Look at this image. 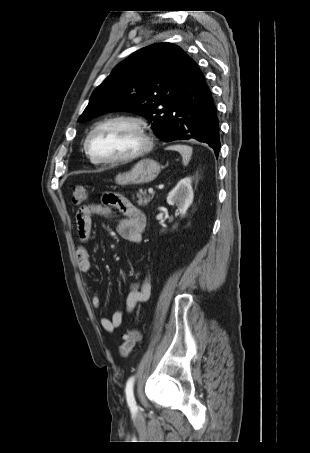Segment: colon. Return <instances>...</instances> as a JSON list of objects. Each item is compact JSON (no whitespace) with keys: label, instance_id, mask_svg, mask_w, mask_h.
Listing matches in <instances>:
<instances>
[{"label":"colon","instance_id":"colon-1","mask_svg":"<svg viewBox=\"0 0 310 453\" xmlns=\"http://www.w3.org/2000/svg\"><path fill=\"white\" fill-rule=\"evenodd\" d=\"M106 196V195H105ZM104 196V197H105ZM88 198L87 187L84 185H74L72 187V202L75 205L84 203ZM141 336L138 330H129L123 337V343L119 347V353L122 357H127L133 351L135 345Z\"/></svg>","mask_w":310,"mask_h":453}]
</instances>
